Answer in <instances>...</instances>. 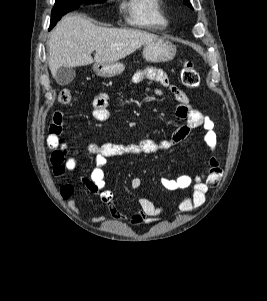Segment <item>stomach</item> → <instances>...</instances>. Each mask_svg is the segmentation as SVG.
I'll use <instances>...</instances> for the list:
<instances>
[{"label":"stomach","mask_w":267,"mask_h":301,"mask_svg":"<svg viewBox=\"0 0 267 301\" xmlns=\"http://www.w3.org/2000/svg\"><path fill=\"white\" fill-rule=\"evenodd\" d=\"M143 58L148 62H169L176 55V46L167 39L159 38L152 43L145 44L142 52ZM125 69L123 63L95 64V73L104 78L121 74Z\"/></svg>","instance_id":"1"}]
</instances>
